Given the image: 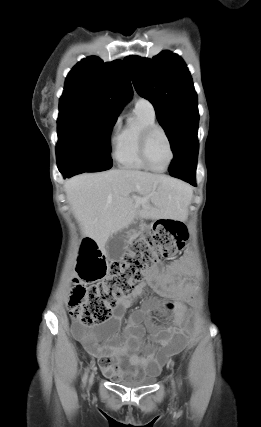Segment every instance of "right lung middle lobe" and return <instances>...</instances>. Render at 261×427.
<instances>
[{
    "instance_id": "dd1d6c3e",
    "label": "right lung middle lobe",
    "mask_w": 261,
    "mask_h": 427,
    "mask_svg": "<svg viewBox=\"0 0 261 427\" xmlns=\"http://www.w3.org/2000/svg\"><path fill=\"white\" fill-rule=\"evenodd\" d=\"M116 119L117 115L91 109L59 111L56 147L59 171L110 169V133Z\"/></svg>"
}]
</instances>
